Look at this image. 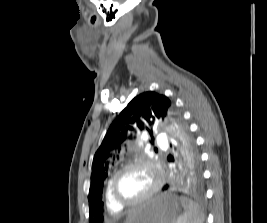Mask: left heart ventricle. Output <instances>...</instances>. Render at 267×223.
<instances>
[{
    "instance_id": "left-heart-ventricle-1",
    "label": "left heart ventricle",
    "mask_w": 267,
    "mask_h": 223,
    "mask_svg": "<svg viewBox=\"0 0 267 223\" xmlns=\"http://www.w3.org/2000/svg\"><path fill=\"white\" fill-rule=\"evenodd\" d=\"M154 182L155 177L149 168L133 166L122 172L117 178L116 194L124 201H134L146 194Z\"/></svg>"
}]
</instances>
